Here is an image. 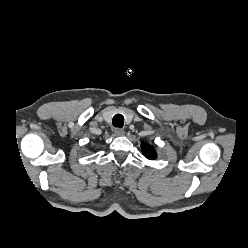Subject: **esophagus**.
Returning <instances> with one entry per match:
<instances>
[{"instance_id":"esophagus-1","label":"esophagus","mask_w":248,"mask_h":248,"mask_svg":"<svg viewBox=\"0 0 248 248\" xmlns=\"http://www.w3.org/2000/svg\"><path fill=\"white\" fill-rule=\"evenodd\" d=\"M114 133H115L116 136H123L125 132H124L123 129L116 128V129L114 130Z\"/></svg>"}]
</instances>
